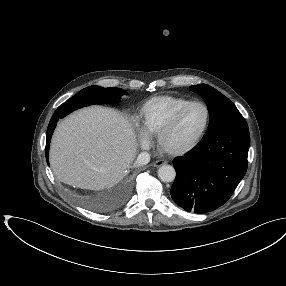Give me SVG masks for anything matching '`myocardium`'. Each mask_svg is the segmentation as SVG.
I'll use <instances>...</instances> for the list:
<instances>
[{"mask_svg":"<svg viewBox=\"0 0 286 286\" xmlns=\"http://www.w3.org/2000/svg\"><path fill=\"white\" fill-rule=\"evenodd\" d=\"M194 105H201V106H203V108L206 111V122H205V125H204L202 132L192 143H190L187 146H184L181 148H169L165 144V138H166L167 134L177 125V123L179 122L181 117L184 115V113ZM210 123H211V111H210L209 107L207 106V104L204 103L203 101H198V100L197 101H191L190 103L186 104L181 109H179L170 118V120L160 129V131L157 134L158 146L162 151H164L165 153H168L170 155L186 154V153L192 151L193 149H195L202 142V140L205 138V136L209 130Z\"/></svg>","mask_w":286,"mask_h":286,"instance_id":"myocardium-1","label":"myocardium"}]
</instances>
